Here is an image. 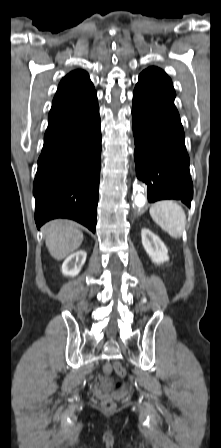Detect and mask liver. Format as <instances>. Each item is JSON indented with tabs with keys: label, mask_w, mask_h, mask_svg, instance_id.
<instances>
[{
	"label": "liver",
	"mask_w": 221,
	"mask_h": 448,
	"mask_svg": "<svg viewBox=\"0 0 221 448\" xmlns=\"http://www.w3.org/2000/svg\"><path fill=\"white\" fill-rule=\"evenodd\" d=\"M44 231L48 251L58 261L77 250L84 237L75 224L65 220H54L47 223Z\"/></svg>",
	"instance_id": "obj_1"
}]
</instances>
